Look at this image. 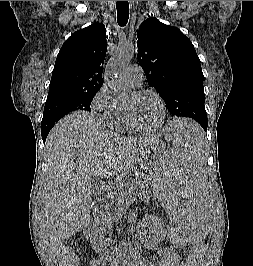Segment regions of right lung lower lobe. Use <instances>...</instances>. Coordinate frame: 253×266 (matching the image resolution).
Returning a JSON list of instances; mask_svg holds the SVG:
<instances>
[{
  "mask_svg": "<svg viewBox=\"0 0 253 266\" xmlns=\"http://www.w3.org/2000/svg\"><path fill=\"white\" fill-rule=\"evenodd\" d=\"M51 128L52 127L41 128V135L44 143Z\"/></svg>",
  "mask_w": 253,
  "mask_h": 266,
  "instance_id": "right-lung-lower-lobe-1",
  "label": "right lung lower lobe"
}]
</instances>
